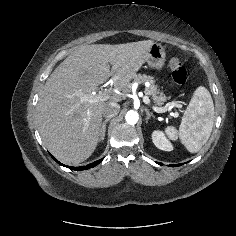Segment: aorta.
Masks as SVG:
<instances>
[{"label": "aorta", "mask_w": 236, "mask_h": 236, "mask_svg": "<svg viewBox=\"0 0 236 236\" xmlns=\"http://www.w3.org/2000/svg\"><path fill=\"white\" fill-rule=\"evenodd\" d=\"M125 120L128 124L134 125L139 120V115L136 111L130 110L126 113Z\"/></svg>", "instance_id": "1"}]
</instances>
